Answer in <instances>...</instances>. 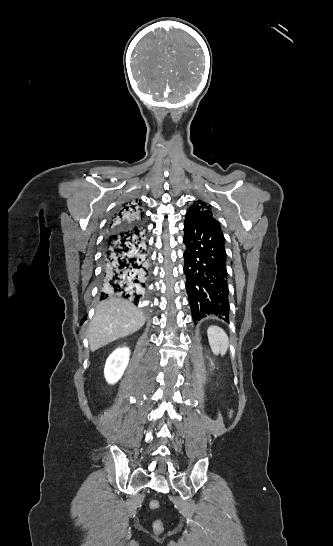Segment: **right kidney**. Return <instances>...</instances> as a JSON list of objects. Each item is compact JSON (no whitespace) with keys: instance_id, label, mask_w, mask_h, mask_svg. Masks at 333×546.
Masks as SVG:
<instances>
[{"instance_id":"obj_1","label":"right kidney","mask_w":333,"mask_h":546,"mask_svg":"<svg viewBox=\"0 0 333 546\" xmlns=\"http://www.w3.org/2000/svg\"><path fill=\"white\" fill-rule=\"evenodd\" d=\"M130 350L127 347L117 348L106 360L104 375L108 383H116L123 375L128 362Z\"/></svg>"}]
</instances>
